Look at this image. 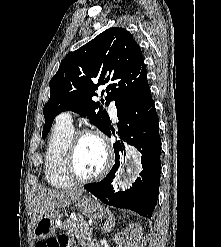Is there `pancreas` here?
<instances>
[{
    "mask_svg": "<svg viewBox=\"0 0 221 247\" xmlns=\"http://www.w3.org/2000/svg\"><path fill=\"white\" fill-rule=\"evenodd\" d=\"M63 229L75 236L82 247H92V231L83 217L76 216L64 221Z\"/></svg>",
    "mask_w": 221,
    "mask_h": 247,
    "instance_id": "1",
    "label": "pancreas"
}]
</instances>
